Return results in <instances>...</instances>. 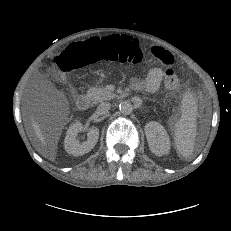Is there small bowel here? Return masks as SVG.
Segmentation results:
<instances>
[{
    "mask_svg": "<svg viewBox=\"0 0 231 231\" xmlns=\"http://www.w3.org/2000/svg\"><path fill=\"white\" fill-rule=\"evenodd\" d=\"M156 53L164 64L168 66H171L174 64V58L168 51L164 49H159ZM162 76H163L162 69L159 67H154L149 70L147 77L145 79L136 80L134 82V86L137 89L145 90L150 93H154L160 87Z\"/></svg>",
    "mask_w": 231,
    "mask_h": 231,
    "instance_id": "1",
    "label": "small bowel"
}]
</instances>
